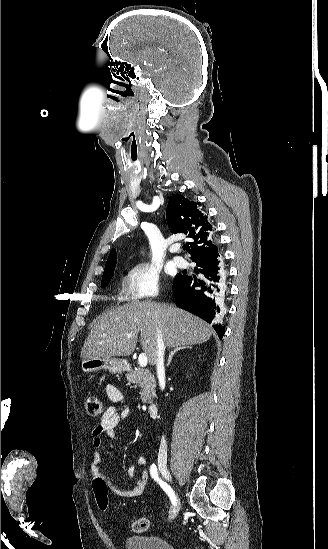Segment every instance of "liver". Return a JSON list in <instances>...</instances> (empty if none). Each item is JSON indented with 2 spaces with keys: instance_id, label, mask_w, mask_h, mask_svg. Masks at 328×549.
I'll return each instance as SVG.
<instances>
[{
  "instance_id": "obj_1",
  "label": "liver",
  "mask_w": 328,
  "mask_h": 549,
  "mask_svg": "<svg viewBox=\"0 0 328 549\" xmlns=\"http://www.w3.org/2000/svg\"><path fill=\"white\" fill-rule=\"evenodd\" d=\"M92 325L81 359L132 355L140 333L141 347L149 365H156L158 331L166 347L177 349L182 345L206 343L212 335L210 325L203 319L175 305L153 301H131L103 313Z\"/></svg>"
}]
</instances>
